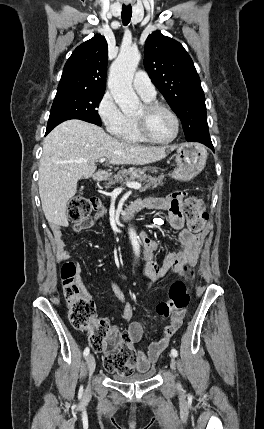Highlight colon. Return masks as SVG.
<instances>
[{
	"label": "colon",
	"instance_id": "5ec220e1",
	"mask_svg": "<svg viewBox=\"0 0 264 429\" xmlns=\"http://www.w3.org/2000/svg\"><path fill=\"white\" fill-rule=\"evenodd\" d=\"M100 206L99 201L95 199L75 196L69 202L68 217L71 221H81L93 210H99ZM182 210L187 218L189 230L192 233L200 232L208 220L202 200L195 196L189 197L183 204ZM183 270L187 275L192 276V270L187 265ZM60 276L71 324L89 333V343L93 350L105 353L104 366L108 371L131 373L136 357L131 336L96 318L92 300L77 282V268L72 261H65L62 264ZM189 300L187 284L177 280L170 287L169 299L157 305L156 313L162 317H167L170 313L182 314Z\"/></svg>",
	"mask_w": 264,
	"mask_h": 429
}]
</instances>
